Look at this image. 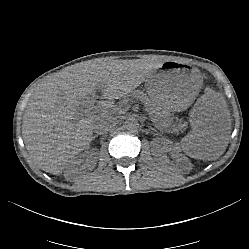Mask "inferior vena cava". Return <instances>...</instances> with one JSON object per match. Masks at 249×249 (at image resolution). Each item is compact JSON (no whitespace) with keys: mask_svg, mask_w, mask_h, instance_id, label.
<instances>
[{"mask_svg":"<svg viewBox=\"0 0 249 249\" xmlns=\"http://www.w3.org/2000/svg\"><path fill=\"white\" fill-rule=\"evenodd\" d=\"M113 125L114 119L110 114L104 113L102 118L92 125V129L95 133H106L112 130Z\"/></svg>","mask_w":249,"mask_h":249,"instance_id":"602c4592","label":"inferior vena cava"}]
</instances>
